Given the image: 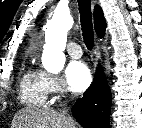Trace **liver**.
<instances>
[{
	"label": "liver",
	"mask_w": 142,
	"mask_h": 128,
	"mask_svg": "<svg viewBox=\"0 0 142 128\" xmlns=\"http://www.w3.org/2000/svg\"><path fill=\"white\" fill-rule=\"evenodd\" d=\"M75 126V125H74ZM12 128H74L65 115L50 108L26 107L17 112ZM76 128V126H75Z\"/></svg>",
	"instance_id": "liver-1"
}]
</instances>
